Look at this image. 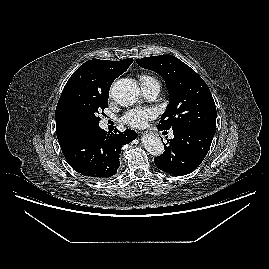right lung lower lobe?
Returning <instances> with one entry per match:
<instances>
[{
	"label": "right lung lower lobe",
	"instance_id": "1",
	"mask_svg": "<svg viewBox=\"0 0 269 269\" xmlns=\"http://www.w3.org/2000/svg\"><path fill=\"white\" fill-rule=\"evenodd\" d=\"M57 137L70 166L84 177L97 180L117 173L122 146L137 135L130 129L117 134L106 132L98 126L76 129Z\"/></svg>",
	"mask_w": 269,
	"mask_h": 269
}]
</instances>
